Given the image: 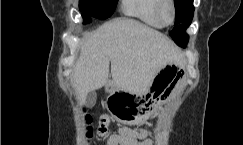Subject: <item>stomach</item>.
Segmentation results:
<instances>
[{
  "instance_id": "0dacf381",
  "label": "stomach",
  "mask_w": 243,
  "mask_h": 145,
  "mask_svg": "<svg viewBox=\"0 0 243 145\" xmlns=\"http://www.w3.org/2000/svg\"><path fill=\"white\" fill-rule=\"evenodd\" d=\"M170 64V63H168ZM166 64L162 72H157L150 87H180L177 82L182 76L181 68ZM106 90L110 93L107 106L113 116L122 123L135 124L143 121L150 113H156L158 102H169L173 98L170 93H175V88H151L145 93H131L118 88L114 83L108 82ZM150 93V94H148Z\"/></svg>"
}]
</instances>
